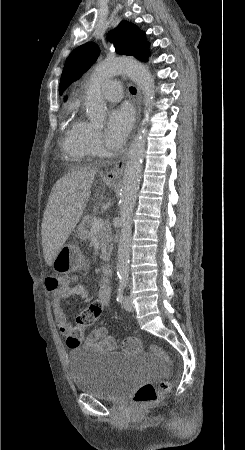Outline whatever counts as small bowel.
Wrapping results in <instances>:
<instances>
[{
  "label": "small bowel",
  "instance_id": "small-bowel-1",
  "mask_svg": "<svg viewBox=\"0 0 245 450\" xmlns=\"http://www.w3.org/2000/svg\"><path fill=\"white\" fill-rule=\"evenodd\" d=\"M111 287L107 278L103 279L98 290V299L102 307H107L110 300ZM90 293L86 286L82 284L65 285L60 291L50 294L51 298V313L60 328V330L69 334L73 330V325L68 322L67 315L64 310L63 300L67 297L77 296L82 299H87ZM85 348H99L110 349L115 345L112 336L108 335L103 329H97L89 333L81 344ZM72 348V347H71Z\"/></svg>",
  "mask_w": 245,
  "mask_h": 450
}]
</instances>
